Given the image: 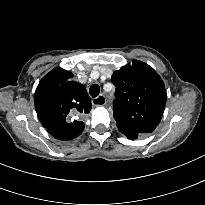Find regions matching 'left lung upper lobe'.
<instances>
[{
  "instance_id": "obj_1",
  "label": "left lung upper lobe",
  "mask_w": 205,
  "mask_h": 205,
  "mask_svg": "<svg viewBox=\"0 0 205 205\" xmlns=\"http://www.w3.org/2000/svg\"><path fill=\"white\" fill-rule=\"evenodd\" d=\"M116 87L113 116L118 126L151 133L159 124L166 104L164 83L148 64L134 60L113 73Z\"/></svg>"
}]
</instances>
